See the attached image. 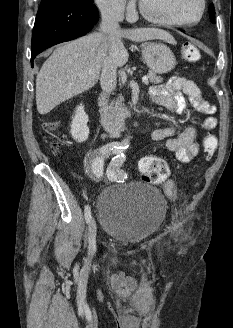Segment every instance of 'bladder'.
Segmentation results:
<instances>
[{"instance_id": "bladder-1", "label": "bladder", "mask_w": 233, "mask_h": 328, "mask_svg": "<svg viewBox=\"0 0 233 328\" xmlns=\"http://www.w3.org/2000/svg\"><path fill=\"white\" fill-rule=\"evenodd\" d=\"M166 211L164 196L140 182L110 185L97 200V217L103 232L127 243L139 242L157 231Z\"/></svg>"}]
</instances>
